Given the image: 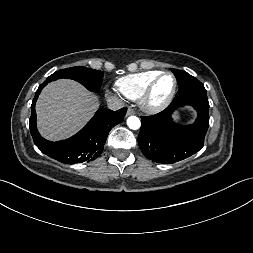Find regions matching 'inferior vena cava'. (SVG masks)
<instances>
[{
	"mask_svg": "<svg viewBox=\"0 0 253 253\" xmlns=\"http://www.w3.org/2000/svg\"><path fill=\"white\" fill-rule=\"evenodd\" d=\"M107 105H108V108L111 110H117L124 106L123 102L120 99L115 98V97L108 98Z\"/></svg>",
	"mask_w": 253,
	"mask_h": 253,
	"instance_id": "inferior-vena-cava-1",
	"label": "inferior vena cava"
}]
</instances>
